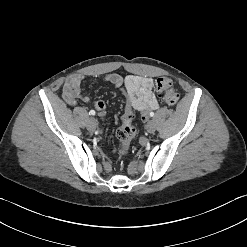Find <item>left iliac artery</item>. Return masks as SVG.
Returning a JSON list of instances; mask_svg holds the SVG:
<instances>
[{
    "label": "left iliac artery",
    "mask_w": 247,
    "mask_h": 247,
    "mask_svg": "<svg viewBox=\"0 0 247 247\" xmlns=\"http://www.w3.org/2000/svg\"><path fill=\"white\" fill-rule=\"evenodd\" d=\"M153 116H154V112H151V113H150V117H153Z\"/></svg>",
    "instance_id": "1"
}]
</instances>
